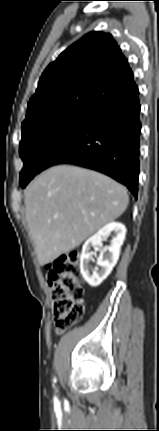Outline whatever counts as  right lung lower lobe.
Returning <instances> with one entry per match:
<instances>
[{"label": "right lung lower lobe", "instance_id": "1", "mask_svg": "<svg viewBox=\"0 0 159 431\" xmlns=\"http://www.w3.org/2000/svg\"><path fill=\"white\" fill-rule=\"evenodd\" d=\"M138 95L137 88L70 129L47 151L40 172L56 164L78 165L114 178L137 198L141 133Z\"/></svg>", "mask_w": 159, "mask_h": 431}]
</instances>
